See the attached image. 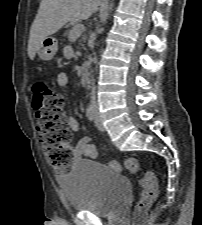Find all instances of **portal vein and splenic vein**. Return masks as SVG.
Instances as JSON below:
<instances>
[{"label":"portal vein and splenic vein","instance_id":"1","mask_svg":"<svg viewBox=\"0 0 202 225\" xmlns=\"http://www.w3.org/2000/svg\"><path fill=\"white\" fill-rule=\"evenodd\" d=\"M83 30H84V25L82 24L74 25V27L71 29L69 33V39L70 40L77 39L82 34Z\"/></svg>","mask_w":202,"mask_h":225}]
</instances>
